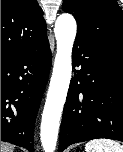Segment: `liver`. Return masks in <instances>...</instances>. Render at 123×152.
Returning <instances> with one entry per match:
<instances>
[{
	"instance_id": "obj_1",
	"label": "liver",
	"mask_w": 123,
	"mask_h": 152,
	"mask_svg": "<svg viewBox=\"0 0 123 152\" xmlns=\"http://www.w3.org/2000/svg\"><path fill=\"white\" fill-rule=\"evenodd\" d=\"M14 146L9 143L1 142V152H13Z\"/></svg>"
}]
</instances>
